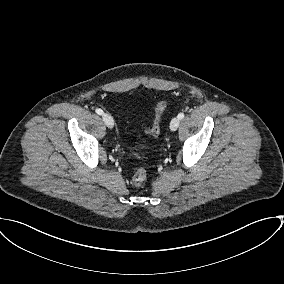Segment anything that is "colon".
<instances>
[{"label":"colon","instance_id":"obj_1","mask_svg":"<svg viewBox=\"0 0 284 284\" xmlns=\"http://www.w3.org/2000/svg\"><path fill=\"white\" fill-rule=\"evenodd\" d=\"M167 107V101L166 100H160L155 108V118L153 121V125L150 128H147L145 130L146 134L149 137H157L160 133V124H161V120H162V116L164 114V111ZM147 178V170L146 168H140L138 169L135 174L132 177V182L134 185L139 186L142 183L145 182Z\"/></svg>","mask_w":284,"mask_h":284}]
</instances>
